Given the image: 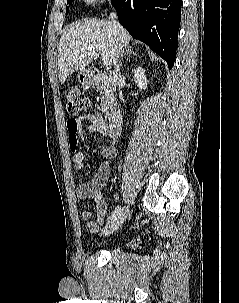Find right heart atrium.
Segmentation results:
<instances>
[{
  "label": "right heart atrium",
  "instance_id": "obj_1",
  "mask_svg": "<svg viewBox=\"0 0 239 303\" xmlns=\"http://www.w3.org/2000/svg\"><path fill=\"white\" fill-rule=\"evenodd\" d=\"M86 3H89V4H94L96 2H103L105 0H84Z\"/></svg>",
  "mask_w": 239,
  "mask_h": 303
}]
</instances>
